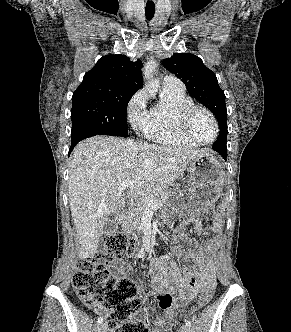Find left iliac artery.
Here are the masks:
<instances>
[{
	"label": "left iliac artery",
	"mask_w": 291,
	"mask_h": 332,
	"mask_svg": "<svg viewBox=\"0 0 291 332\" xmlns=\"http://www.w3.org/2000/svg\"><path fill=\"white\" fill-rule=\"evenodd\" d=\"M185 324L186 326L191 327V322L189 320H185Z\"/></svg>",
	"instance_id": "44dca946"
}]
</instances>
